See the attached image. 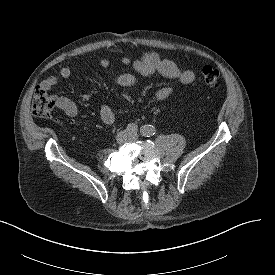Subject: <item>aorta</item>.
Segmentation results:
<instances>
[{
  "instance_id": "1",
  "label": "aorta",
  "mask_w": 275,
  "mask_h": 275,
  "mask_svg": "<svg viewBox=\"0 0 275 275\" xmlns=\"http://www.w3.org/2000/svg\"><path fill=\"white\" fill-rule=\"evenodd\" d=\"M152 132V128L151 127H148V129L145 131L146 134H149Z\"/></svg>"
}]
</instances>
